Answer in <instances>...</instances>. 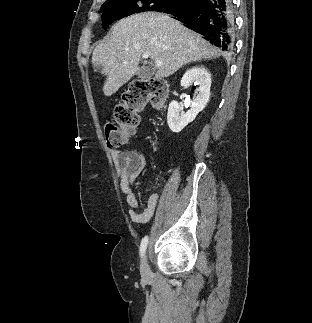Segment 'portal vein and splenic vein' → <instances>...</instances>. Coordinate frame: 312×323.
Segmentation results:
<instances>
[{"label": "portal vein and splenic vein", "mask_w": 312, "mask_h": 323, "mask_svg": "<svg viewBox=\"0 0 312 323\" xmlns=\"http://www.w3.org/2000/svg\"><path fill=\"white\" fill-rule=\"evenodd\" d=\"M142 58H149V56H148V54H143ZM155 66H156V68H158V66H164V64H163V62H158V60H156Z\"/></svg>", "instance_id": "obj_1"}]
</instances>
